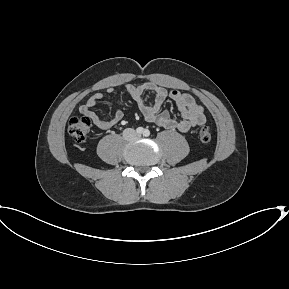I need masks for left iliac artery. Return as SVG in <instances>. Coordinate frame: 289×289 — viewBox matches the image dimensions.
<instances>
[{
  "instance_id": "left-iliac-artery-1",
  "label": "left iliac artery",
  "mask_w": 289,
  "mask_h": 289,
  "mask_svg": "<svg viewBox=\"0 0 289 289\" xmlns=\"http://www.w3.org/2000/svg\"><path fill=\"white\" fill-rule=\"evenodd\" d=\"M143 135L145 137H148L150 135V131L148 129H145L144 132H143Z\"/></svg>"
}]
</instances>
